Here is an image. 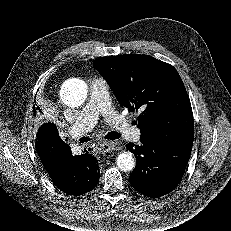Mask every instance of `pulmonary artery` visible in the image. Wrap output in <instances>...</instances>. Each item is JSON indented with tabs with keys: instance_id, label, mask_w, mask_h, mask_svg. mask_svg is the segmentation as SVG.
Wrapping results in <instances>:
<instances>
[{
	"instance_id": "1",
	"label": "pulmonary artery",
	"mask_w": 231,
	"mask_h": 231,
	"mask_svg": "<svg viewBox=\"0 0 231 231\" xmlns=\"http://www.w3.org/2000/svg\"><path fill=\"white\" fill-rule=\"evenodd\" d=\"M102 116L124 138L137 142L141 131L130 125L127 118L122 117L113 107L109 86L102 78H94L90 84V96L87 105L81 111L76 122L71 126L70 134L76 138L92 129Z\"/></svg>"
}]
</instances>
